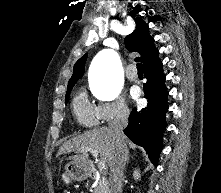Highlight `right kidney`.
I'll list each match as a JSON object with an SVG mask.
<instances>
[{
  "mask_svg": "<svg viewBox=\"0 0 221 193\" xmlns=\"http://www.w3.org/2000/svg\"><path fill=\"white\" fill-rule=\"evenodd\" d=\"M133 177L135 180H140V171L138 169H135L134 173H133Z\"/></svg>",
  "mask_w": 221,
  "mask_h": 193,
  "instance_id": "1",
  "label": "right kidney"
}]
</instances>
